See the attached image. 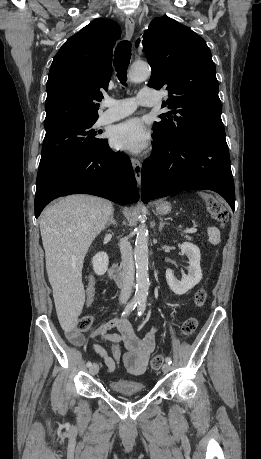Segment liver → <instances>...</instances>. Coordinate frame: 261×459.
Returning a JSON list of instances; mask_svg holds the SVG:
<instances>
[{"label":"liver","mask_w":261,"mask_h":459,"mask_svg":"<svg viewBox=\"0 0 261 459\" xmlns=\"http://www.w3.org/2000/svg\"><path fill=\"white\" fill-rule=\"evenodd\" d=\"M113 211L112 203L106 199L76 194L60 199L41 215L46 270L57 316L65 331L76 327L85 301L82 268L86 253Z\"/></svg>","instance_id":"1"}]
</instances>
